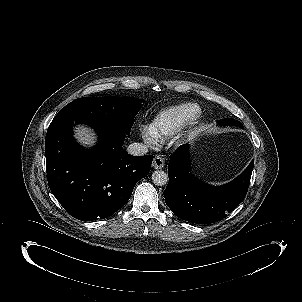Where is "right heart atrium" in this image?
I'll use <instances>...</instances> for the list:
<instances>
[{
	"label": "right heart atrium",
	"mask_w": 302,
	"mask_h": 302,
	"mask_svg": "<svg viewBox=\"0 0 302 302\" xmlns=\"http://www.w3.org/2000/svg\"><path fill=\"white\" fill-rule=\"evenodd\" d=\"M142 141L150 148H156L161 143V139L148 127L142 126L139 130Z\"/></svg>",
	"instance_id": "right-heart-atrium-1"
}]
</instances>
